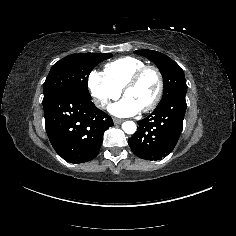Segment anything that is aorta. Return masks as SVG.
I'll use <instances>...</instances> for the list:
<instances>
[{
  "label": "aorta",
  "instance_id": "762f6f07",
  "mask_svg": "<svg viewBox=\"0 0 236 236\" xmlns=\"http://www.w3.org/2000/svg\"><path fill=\"white\" fill-rule=\"evenodd\" d=\"M122 129L127 134H133L136 131V124L133 121H125L122 123Z\"/></svg>",
  "mask_w": 236,
  "mask_h": 236
}]
</instances>
